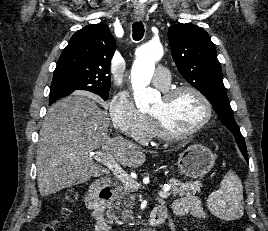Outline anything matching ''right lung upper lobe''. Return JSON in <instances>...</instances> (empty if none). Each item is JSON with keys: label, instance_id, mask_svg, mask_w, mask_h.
<instances>
[{"label": "right lung upper lobe", "instance_id": "right-lung-upper-lobe-1", "mask_svg": "<svg viewBox=\"0 0 268 231\" xmlns=\"http://www.w3.org/2000/svg\"><path fill=\"white\" fill-rule=\"evenodd\" d=\"M115 49V39L105 24H91L77 31L57 62L51 84V88L67 92L51 97L49 104L76 90L109 92L110 63Z\"/></svg>", "mask_w": 268, "mask_h": 231}]
</instances>
